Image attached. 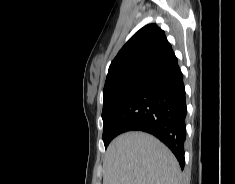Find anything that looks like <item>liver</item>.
I'll use <instances>...</instances> for the list:
<instances>
[{
	"label": "liver",
	"instance_id": "obj_1",
	"mask_svg": "<svg viewBox=\"0 0 235 184\" xmlns=\"http://www.w3.org/2000/svg\"><path fill=\"white\" fill-rule=\"evenodd\" d=\"M103 184H181L180 166L154 136L126 132L108 146Z\"/></svg>",
	"mask_w": 235,
	"mask_h": 184
}]
</instances>
